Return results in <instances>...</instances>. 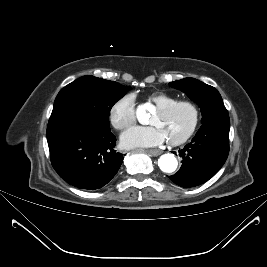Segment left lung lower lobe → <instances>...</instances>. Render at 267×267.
Here are the masks:
<instances>
[{"instance_id":"0a47b994","label":"left lung lower lobe","mask_w":267,"mask_h":267,"mask_svg":"<svg viewBox=\"0 0 267 267\" xmlns=\"http://www.w3.org/2000/svg\"><path fill=\"white\" fill-rule=\"evenodd\" d=\"M229 127V120L202 124L192 142L179 151L182 166L169 176L171 181L181 187H194L212 178L228 157Z\"/></svg>"}]
</instances>
